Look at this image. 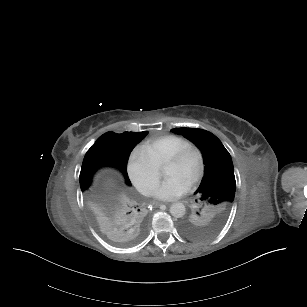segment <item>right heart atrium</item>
Listing matches in <instances>:
<instances>
[{"mask_svg": "<svg viewBox=\"0 0 307 307\" xmlns=\"http://www.w3.org/2000/svg\"><path fill=\"white\" fill-rule=\"evenodd\" d=\"M157 157L151 154L143 142L132 146L127 158V173L131 183L147 193L157 177Z\"/></svg>", "mask_w": 307, "mask_h": 307, "instance_id": "obj_1", "label": "right heart atrium"}]
</instances>
